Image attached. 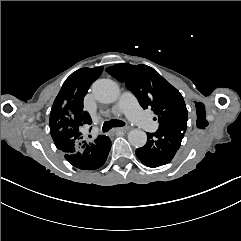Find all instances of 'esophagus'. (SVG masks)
Segmentation results:
<instances>
[{
	"label": "esophagus",
	"mask_w": 241,
	"mask_h": 241,
	"mask_svg": "<svg viewBox=\"0 0 241 241\" xmlns=\"http://www.w3.org/2000/svg\"><path fill=\"white\" fill-rule=\"evenodd\" d=\"M127 130H128L127 127H119V128L113 129L112 132L115 133L117 131H127Z\"/></svg>",
	"instance_id": "34e87169"
}]
</instances>
